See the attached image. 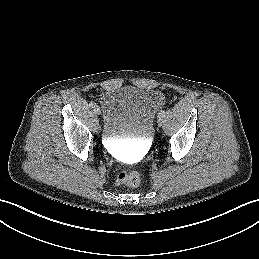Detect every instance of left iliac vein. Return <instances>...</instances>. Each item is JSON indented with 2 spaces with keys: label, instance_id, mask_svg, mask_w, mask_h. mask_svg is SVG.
<instances>
[{
  "label": "left iliac vein",
  "instance_id": "4c4485c4",
  "mask_svg": "<svg viewBox=\"0 0 259 259\" xmlns=\"http://www.w3.org/2000/svg\"><path fill=\"white\" fill-rule=\"evenodd\" d=\"M158 124H159V126H161L163 124V119L162 118L158 119Z\"/></svg>",
  "mask_w": 259,
  "mask_h": 259
}]
</instances>
